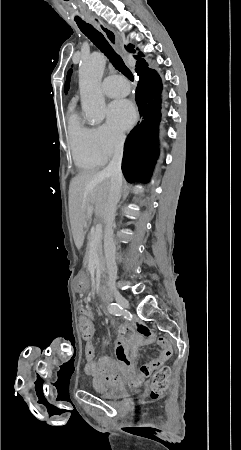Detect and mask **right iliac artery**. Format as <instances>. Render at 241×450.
Masks as SVG:
<instances>
[{
  "label": "right iliac artery",
  "instance_id": "82829eb1",
  "mask_svg": "<svg viewBox=\"0 0 241 450\" xmlns=\"http://www.w3.org/2000/svg\"><path fill=\"white\" fill-rule=\"evenodd\" d=\"M109 312L115 316H120L122 314V307L117 303L109 304Z\"/></svg>",
  "mask_w": 241,
  "mask_h": 450
}]
</instances>
